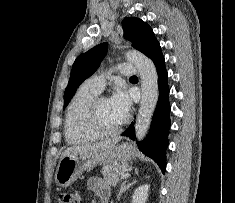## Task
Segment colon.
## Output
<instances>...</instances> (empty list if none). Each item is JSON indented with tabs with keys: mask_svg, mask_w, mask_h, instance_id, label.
<instances>
[{
	"mask_svg": "<svg viewBox=\"0 0 235 203\" xmlns=\"http://www.w3.org/2000/svg\"><path fill=\"white\" fill-rule=\"evenodd\" d=\"M58 203H81V200L77 193L65 192L59 196Z\"/></svg>",
	"mask_w": 235,
	"mask_h": 203,
	"instance_id": "obj_1",
	"label": "colon"
}]
</instances>
